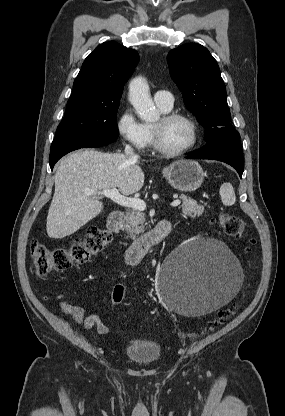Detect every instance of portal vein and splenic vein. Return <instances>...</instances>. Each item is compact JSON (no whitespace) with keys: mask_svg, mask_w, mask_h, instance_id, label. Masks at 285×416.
I'll return each mask as SVG.
<instances>
[{"mask_svg":"<svg viewBox=\"0 0 285 416\" xmlns=\"http://www.w3.org/2000/svg\"><path fill=\"white\" fill-rule=\"evenodd\" d=\"M85 194L88 196H106V198H110L119 206H125V208H135V210H146V204L140 198H126V196H121L116 188H111V190H102V192H96V190H86ZM180 200H174L170 206H180Z\"/></svg>","mask_w":285,"mask_h":416,"instance_id":"portal-vein-and-splenic-vein-1","label":"portal vein and splenic vein"}]
</instances>
